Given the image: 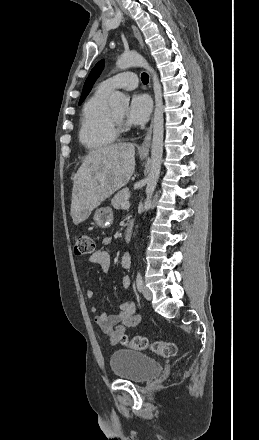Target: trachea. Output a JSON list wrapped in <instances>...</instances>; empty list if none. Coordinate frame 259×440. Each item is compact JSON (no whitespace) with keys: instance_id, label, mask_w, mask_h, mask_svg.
Returning a JSON list of instances; mask_svg holds the SVG:
<instances>
[{"instance_id":"3493384b","label":"trachea","mask_w":259,"mask_h":440,"mask_svg":"<svg viewBox=\"0 0 259 440\" xmlns=\"http://www.w3.org/2000/svg\"><path fill=\"white\" fill-rule=\"evenodd\" d=\"M141 80L143 83H148L149 82V75L147 73H142Z\"/></svg>"}]
</instances>
